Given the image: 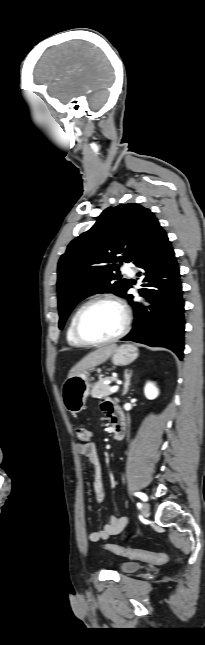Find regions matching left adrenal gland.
Masks as SVG:
<instances>
[{"label": "left adrenal gland", "instance_id": "1", "mask_svg": "<svg viewBox=\"0 0 205 645\" xmlns=\"http://www.w3.org/2000/svg\"><path fill=\"white\" fill-rule=\"evenodd\" d=\"M131 376H132L131 372L129 373L128 370H125L124 372L125 383H124V390L122 395H126L129 390Z\"/></svg>", "mask_w": 205, "mask_h": 645}]
</instances>
